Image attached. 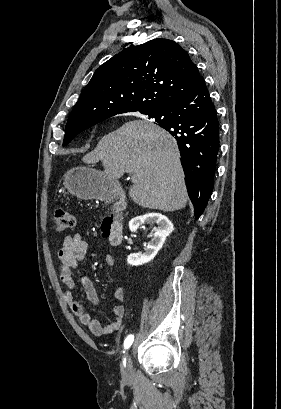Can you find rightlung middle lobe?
Returning <instances> with one entry per match:
<instances>
[{
  "mask_svg": "<svg viewBox=\"0 0 281 409\" xmlns=\"http://www.w3.org/2000/svg\"><path fill=\"white\" fill-rule=\"evenodd\" d=\"M142 114H146L149 115V112H141ZM150 118H152L149 115ZM156 122H158V120H156ZM96 124V123H95ZM95 124H91V125H87V126H81V127H67L65 129V137H64V141H63V145H67L77 134H79L80 132L84 131L85 129L95 125Z\"/></svg>",
  "mask_w": 281,
  "mask_h": 409,
  "instance_id": "1",
  "label": "right lung middle lobe"
}]
</instances>
